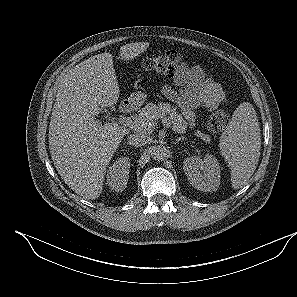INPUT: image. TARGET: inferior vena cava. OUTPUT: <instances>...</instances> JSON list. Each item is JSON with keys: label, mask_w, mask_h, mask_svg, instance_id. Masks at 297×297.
Listing matches in <instances>:
<instances>
[{"label": "inferior vena cava", "mask_w": 297, "mask_h": 297, "mask_svg": "<svg viewBox=\"0 0 297 297\" xmlns=\"http://www.w3.org/2000/svg\"><path fill=\"white\" fill-rule=\"evenodd\" d=\"M127 142L129 145L135 146V147H141L148 143V137L144 134H131L127 137Z\"/></svg>", "instance_id": "602c4592"}]
</instances>
